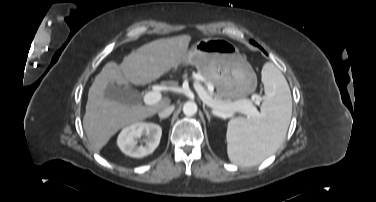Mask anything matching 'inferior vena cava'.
<instances>
[{
    "label": "inferior vena cava",
    "mask_w": 376,
    "mask_h": 202,
    "mask_svg": "<svg viewBox=\"0 0 376 202\" xmlns=\"http://www.w3.org/2000/svg\"><path fill=\"white\" fill-rule=\"evenodd\" d=\"M174 111V106L170 105L165 107L163 110L158 112V116L160 118H167L171 115V113Z\"/></svg>",
    "instance_id": "inferior-vena-cava-1"
}]
</instances>
